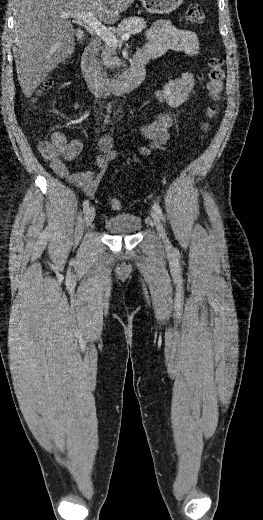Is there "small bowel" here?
<instances>
[{"mask_svg":"<svg viewBox=\"0 0 263 520\" xmlns=\"http://www.w3.org/2000/svg\"><path fill=\"white\" fill-rule=\"evenodd\" d=\"M146 39V44L141 51L149 54L151 58L161 56L169 50L183 52L189 56L199 54V43L195 33L180 29L166 20L155 22L148 30ZM194 83L193 74L186 72L158 89L156 92L157 98L162 103L177 107L187 99ZM173 125V117L161 113L154 121L138 126L137 129L145 139L151 142L152 148H158L168 141ZM51 142L56 151L51 162L52 170L58 176L82 190L85 195L93 196L110 162L118 154L112 149V139L108 135L100 137L98 146L102 155L94 159L92 168L74 174L68 172L66 162L74 161L81 152L83 147L81 139L75 138L68 141L63 133L55 132L51 136ZM142 151L146 153L148 148H143Z\"/></svg>","mask_w":263,"mask_h":520,"instance_id":"obj_1","label":"small bowel"}]
</instances>
